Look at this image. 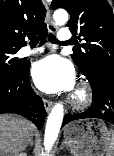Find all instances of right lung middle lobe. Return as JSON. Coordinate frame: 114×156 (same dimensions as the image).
<instances>
[{"label":"right lung middle lobe","instance_id":"dd1d6c3e","mask_svg":"<svg viewBox=\"0 0 114 156\" xmlns=\"http://www.w3.org/2000/svg\"><path fill=\"white\" fill-rule=\"evenodd\" d=\"M18 49L0 48V80L15 77L23 68V63L14 54Z\"/></svg>","mask_w":114,"mask_h":156}]
</instances>
